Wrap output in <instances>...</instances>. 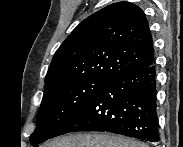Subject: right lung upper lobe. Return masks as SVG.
Wrapping results in <instances>:
<instances>
[{"mask_svg":"<svg viewBox=\"0 0 183 147\" xmlns=\"http://www.w3.org/2000/svg\"><path fill=\"white\" fill-rule=\"evenodd\" d=\"M154 63L143 11L129 2L111 4L82 21L56 51L44 87L85 78L110 81Z\"/></svg>","mask_w":183,"mask_h":147,"instance_id":"right-lung-upper-lobe-1","label":"right lung upper lobe"}]
</instances>
